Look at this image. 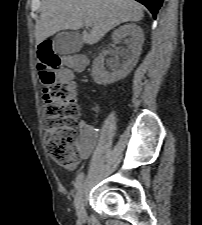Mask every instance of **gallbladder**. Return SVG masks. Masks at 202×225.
<instances>
[{
    "mask_svg": "<svg viewBox=\"0 0 202 225\" xmlns=\"http://www.w3.org/2000/svg\"><path fill=\"white\" fill-rule=\"evenodd\" d=\"M83 46L82 36L74 31H62L53 39V50L58 55L77 53Z\"/></svg>",
    "mask_w": 202,
    "mask_h": 225,
    "instance_id": "1",
    "label": "gallbladder"
}]
</instances>
